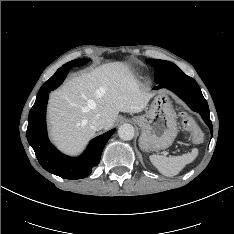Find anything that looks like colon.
Listing matches in <instances>:
<instances>
[{"label": "colon", "instance_id": "colon-1", "mask_svg": "<svg viewBox=\"0 0 234 234\" xmlns=\"http://www.w3.org/2000/svg\"><path fill=\"white\" fill-rule=\"evenodd\" d=\"M181 118L183 127L190 134L192 140L195 143H201L204 135L195 120L184 111L181 112Z\"/></svg>", "mask_w": 234, "mask_h": 234}]
</instances>
